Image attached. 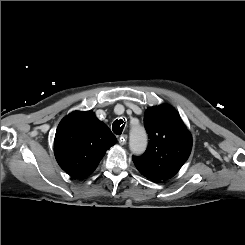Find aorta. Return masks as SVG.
Wrapping results in <instances>:
<instances>
[{
  "instance_id": "762f6f07",
  "label": "aorta",
  "mask_w": 245,
  "mask_h": 245,
  "mask_svg": "<svg viewBox=\"0 0 245 245\" xmlns=\"http://www.w3.org/2000/svg\"><path fill=\"white\" fill-rule=\"evenodd\" d=\"M147 146V134L145 129L140 125H135L130 129L129 148L134 154H141Z\"/></svg>"
}]
</instances>
